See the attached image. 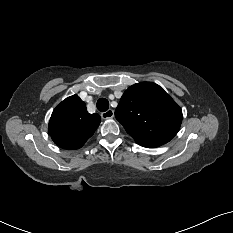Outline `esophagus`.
<instances>
[{"mask_svg": "<svg viewBox=\"0 0 233 233\" xmlns=\"http://www.w3.org/2000/svg\"><path fill=\"white\" fill-rule=\"evenodd\" d=\"M101 117L103 119H110L114 117V111L112 109H109L103 113H101Z\"/></svg>", "mask_w": 233, "mask_h": 233, "instance_id": "1", "label": "esophagus"}]
</instances>
